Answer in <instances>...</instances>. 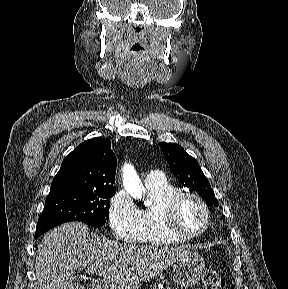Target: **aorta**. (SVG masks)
<instances>
[{"instance_id": "obj_1", "label": "aorta", "mask_w": 288, "mask_h": 289, "mask_svg": "<svg viewBox=\"0 0 288 289\" xmlns=\"http://www.w3.org/2000/svg\"><path fill=\"white\" fill-rule=\"evenodd\" d=\"M123 185L126 191L135 199L144 198L146 189L143 186L139 176L131 164H125L123 167ZM146 206L150 205V201L145 200Z\"/></svg>"}]
</instances>
